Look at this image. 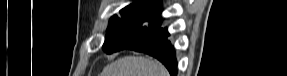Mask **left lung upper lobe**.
<instances>
[{
    "instance_id": "obj_1",
    "label": "left lung upper lobe",
    "mask_w": 287,
    "mask_h": 76,
    "mask_svg": "<svg viewBox=\"0 0 287 76\" xmlns=\"http://www.w3.org/2000/svg\"><path fill=\"white\" fill-rule=\"evenodd\" d=\"M161 8L158 0H137L111 17L103 49L107 53L119 51L150 32L159 29Z\"/></svg>"
}]
</instances>
